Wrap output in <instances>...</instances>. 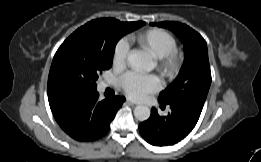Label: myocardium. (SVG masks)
<instances>
[{
  "mask_svg": "<svg viewBox=\"0 0 261 162\" xmlns=\"http://www.w3.org/2000/svg\"><path fill=\"white\" fill-rule=\"evenodd\" d=\"M183 65V55L176 49L158 59L159 68L167 75L177 74Z\"/></svg>",
  "mask_w": 261,
  "mask_h": 162,
  "instance_id": "myocardium-1",
  "label": "myocardium"
}]
</instances>
